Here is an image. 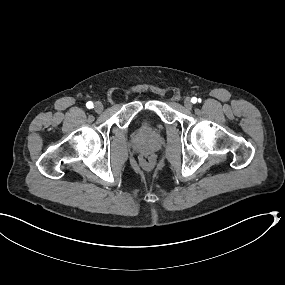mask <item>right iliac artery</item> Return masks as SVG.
<instances>
[{"instance_id": "obj_1", "label": "right iliac artery", "mask_w": 285, "mask_h": 285, "mask_svg": "<svg viewBox=\"0 0 285 285\" xmlns=\"http://www.w3.org/2000/svg\"><path fill=\"white\" fill-rule=\"evenodd\" d=\"M87 108L91 109L93 108V103L91 101L86 103Z\"/></svg>"}]
</instances>
